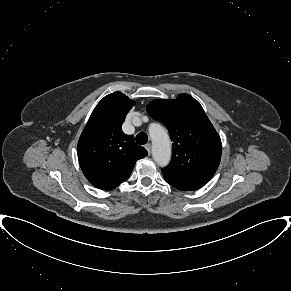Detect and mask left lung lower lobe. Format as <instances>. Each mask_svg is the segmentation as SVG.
Returning a JSON list of instances; mask_svg holds the SVG:
<instances>
[{
	"label": "left lung lower lobe",
	"instance_id": "obj_1",
	"mask_svg": "<svg viewBox=\"0 0 291 291\" xmlns=\"http://www.w3.org/2000/svg\"><path fill=\"white\" fill-rule=\"evenodd\" d=\"M163 177L165 181L170 184L171 186L184 190V191H193L197 190L201 187H203L205 184L204 183H199V182H194L190 180H186L180 177H176L173 175H170L164 171H162Z\"/></svg>",
	"mask_w": 291,
	"mask_h": 291
}]
</instances>
